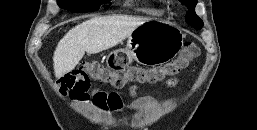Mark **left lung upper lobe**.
I'll return each mask as SVG.
<instances>
[{"label": "left lung upper lobe", "mask_w": 257, "mask_h": 130, "mask_svg": "<svg viewBox=\"0 0 257 130\" xmlns=\"http://www.w3.org/2000/svg\"><path fill=\"white\" fill-rule=\"evenodd\" d=\"M189 9L186 14V21L188 24L193 26L196 29H200L203 26L202 20L195 14V6L197 4V0H181Z\"/></svg>", "instance_id": "obj_1"}]
</instances>
